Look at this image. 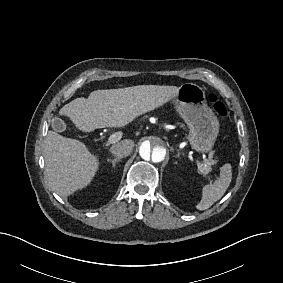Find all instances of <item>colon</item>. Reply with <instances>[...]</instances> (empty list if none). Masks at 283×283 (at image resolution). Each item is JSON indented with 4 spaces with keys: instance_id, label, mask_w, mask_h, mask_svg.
<instances>
[{
    "instance_id": "1",
    "label": "colon",
    "mask_w": 283,
    "mask_h": 283,
    "mask_svg": "<svg viewBox=\"0 0 283 283\" xmlns=\"http://www.w3.org/2000/svg\"><path fill=\"white\" fill-rule=\"evenodd\" d=\"M209 101L211 103V107L214 111V113L220 117L223 118L228 114V110L226 105L218 99V97L216 95H211L209 97Z\"/></svg>"
}]
</instances>
